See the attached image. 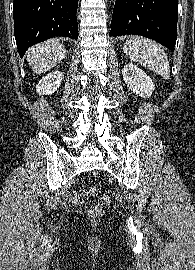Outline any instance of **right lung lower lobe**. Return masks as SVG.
I'll return each mask as SVG.
<instances>
[{"mask_svg":"<svg viewBox=\"0 0 195 270\" xmlns=\"http://www.w3.org/2000/svg\"><path fill=\"white\" fill-rule=\"evenodd\" d=\"M77 7L78 0H14V34L20 56L52 37L78 39Z\"/></svg>","mask_w":195,"mask_h":270,"instance_id":"right-lung-lower-lobe-1","label":"right lung lower lobe"}]
</instances>
